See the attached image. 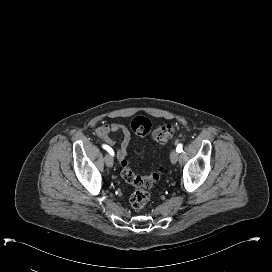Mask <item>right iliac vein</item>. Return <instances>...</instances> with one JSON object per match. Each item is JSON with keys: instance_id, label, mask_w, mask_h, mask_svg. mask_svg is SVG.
Masks as SVG:
<instances>
[{"instance_id": "63e3f726", "label": "right iliac vein", "mask_w": 272, "mask_h": 272, "mask_svg": "<svg viewBox=\"0 0 272 272\" xmlns=\"http://www.w3.org/2000/svg\"><path fill=\"white\" fill-rule=\"evenodd\" d=\"M105 164L108 166V167H112L113 166V158L111 155L107 154L105 156Z\"/></svg>"}]
</instances>
